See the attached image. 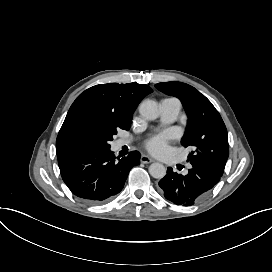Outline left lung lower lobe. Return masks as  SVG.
Segmentation results:
<instances>
[{
    "instance_id": "left-lung-lower-lobe-1",
    "label": "left lung lower lobe",
    "mask_w": 272,
    "mask_h": 272,
    "mask_svg": "<svg viewBox=\"0 0 272 272\" xmlns=\"http://www.w3.org/2000/svg\"><path fill=\"white\" fill-rule=\"evenodd\" d=\"M221 175L213 170L192 164L188 174L183 176L168 168L159 181L164 197L176 205L191 206L209 192L220 180Z\"/></svg>"
}]
</instances>
